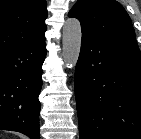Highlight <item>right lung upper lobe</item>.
Returning a JSON list of instances; mask_svg holds the SVG:
<instances>
[{"label": "right lung upper lobe", "instance_id": "1", "mask_svg": "<svg viewBox=\"0 0 141 139\" xmlns=\"http://www.w3.org/2000/svg\"><path fill=\"white\" fill-rule=\"evenodd\" d=\"M46 0H0V51L44 37Z\"/></svg>", "mask_w": 141, "mask_h": 139}]
</instances>
